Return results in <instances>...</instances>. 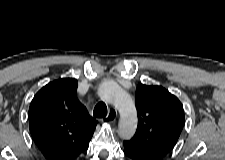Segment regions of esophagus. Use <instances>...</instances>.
I'll return each mask as SVG.
<instances>
[{
	"mask_svg": "<svg viewBox=\"0 0 225 160\" xmlns=\"http://www.w3.org/2000/svg\"><path fill=\"white\" fill-rule=\"evenodd\" d=\"M117 117H118V112L116 109L113 108L109 111L108 115L106 116V120L109 123H115Z\"/></svg>",
	"mask_w": 225,
	"mask_h": 160,
	"instance_id": "obj_1",
	"label": "esophagus"
}]
</instances>
